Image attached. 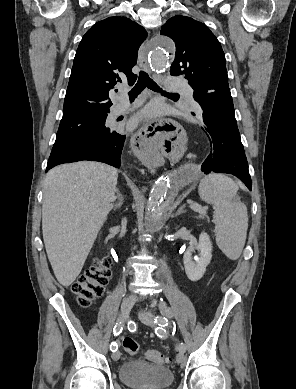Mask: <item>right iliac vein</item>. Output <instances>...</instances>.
I'll return each instance as SVG.
<instances>
[{
	"label": "right iliac vein",
	"mask_w": 296,
	"mask_h": 389,
	"mask_svg": "<svg viewBox=\"0 0 296 389\" xmlns=\"http://www.w3.org/2000/svg\"><path fill=\"white\" fill-rule=\"evenodd\" d=\"M135 301H136V298L133 295H129L123 299L122 304H121V319L123 321H126L128 319L129 313H130L133 305L135 304ZM120 356H121V353L119 351H115L112 354V359L117 361L120 358Z\"/></svg>",
	"instance_id": "right-iliac-vein-1"
}]
</instances>
